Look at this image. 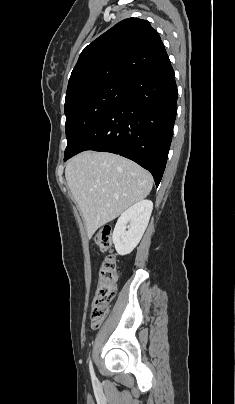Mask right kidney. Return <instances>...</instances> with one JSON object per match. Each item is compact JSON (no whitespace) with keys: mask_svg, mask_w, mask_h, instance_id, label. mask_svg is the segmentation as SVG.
<instances>
[{"mask_svg":"<svg viewBox=\"0 0 235 404\" xmlns=\"http://www.w3.org/2000/svg\"><path fill=\"white\" fill-rule=\"evenodd\" d=\"M152 209V201L142 200L121 214L112 235L119 255L131 253L138 245L148 225Z\"/></svg>","mask_w":235,"mask_h":404,"instance_id":"right-kidney-1","label":"right kidney"}]
</instances>
